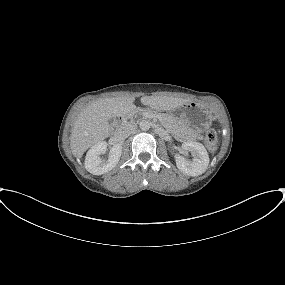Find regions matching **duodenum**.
Wrapping results in <instances>:
<instances>
[{"instance_id":"1","label":"duodenum","mask_w":285,"mask_h":285,"mask_svg":"<svg viewBox=\"0 0 285 285\" xmlns=\"http://www.w3.org/2000/svg\"><path fill=\"white\" fill-rule=\"evenodd\" d=\"M127 121V114L119 113L115 117V123L113 125V131L116 136L120 135V133L125 129Z\"/></svg>"}]
</instances>
